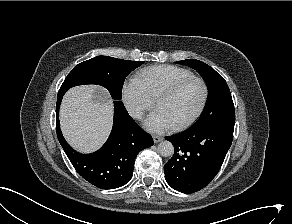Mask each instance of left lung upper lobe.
Instances as JSON below:
<instances>
[{"label": "left lung upper lobe", "mask_w": 292, "mask_h": 224, "mask_svg": "<svg viewBox=\"0 0 292 224\" xmlns=\"http://www.w3.org/2000/svg\"><path fill=\"white\" fill-rule=\"evenodd\" d=\"M194 68L205 80L208 87V100L205 109L192 128H199L213 120L235 115L230 90L226 81L209 65L195 59L178 61Z\"/></svg>", "instance_id": "1"}]
</instances>
